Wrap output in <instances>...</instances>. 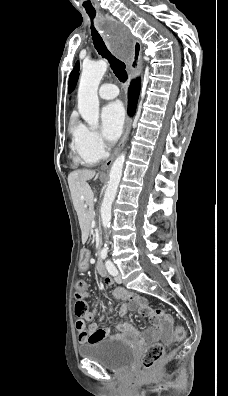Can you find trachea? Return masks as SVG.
Returning <instances> with one entry per match:
<instances>
[{
  "label": "trachea",
  "instance_id": "obj_1",
  "mask_svg": "<svg viewBox=\"0 0 228 396\" xmlns=\"http://www.w3.org/2000/svg\"><path fill=\"white\" fill-rule=\"evenodd\" d=\"M87 14L89 15L91 21L93 22V19L96 16V11L95 10L87 11ZM91 35H92L93 44H94L95 49L97 50L98 54L108 60L110 67L113 70L116 77L121 82L124 83L128 77L125 64L121 60L117 59L116 57H114L111 54V52L106 47L102 37L100 36L98 31L95 29L93 24L91 25Z\"/></svg>",
  "mask_w": 228,
  "mask_h": 396
}]
</instances>
